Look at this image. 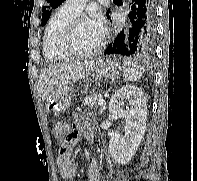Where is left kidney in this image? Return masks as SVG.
<instances>
[{
  "label": "left kidney",
  "instance_id": "left-kidney-1",
  "mask_svg": "<svg viewBox=\"0 0 197 181\" xmlns=\"http://www.w3.org/2000/svg\"><path fill=\"white\" fill-rule=\"evenodd\" d=\"M125 103L129 108L124 109ZM109 111L126 121L124 136L112 137L109 153L119 164H127L135 155L144 137L147 122V104L141 88L126 85L111 97Z\"/></svg>",
  "mask_w": 197,
  "mask_h": 181
}]
</instances>
